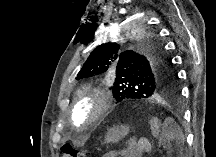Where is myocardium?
<instances>
[{
	"mask_svg": "<svg viewBox=\"0 0 216 157\" xmlns=\"http://www.w3.org/2000/svg\"><path fill=\"white\" fill-rule=\"evenodd\" d=\"M83 101L91 103V113L88 119L82 124H76L75 113ZM112 99L108 92L101 87L85 85L77 89L74 93L73 102L70 108L72 124L78 128H86L97 122L104 113L110 108Z\"/></svg>",
	"mask_w": 216,
	"mask_h": 157,
	"instance_id": "myocardium-1",
	"label": "myocardium"
}]
</instances>
